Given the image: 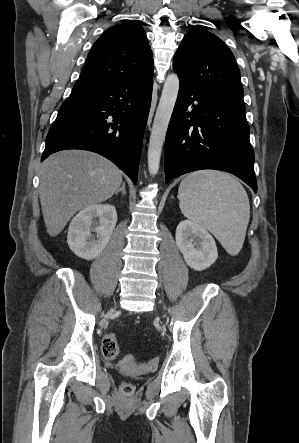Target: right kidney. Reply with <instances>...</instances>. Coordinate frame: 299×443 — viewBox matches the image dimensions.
Segmentation results:
<instances>
[{
  "label": "right kidney",
  "instance_id": "ca27d5eb",
  "mask_svg": "<svg viewBox=\"0 0 299 443\" xmlns=\"http://www.w3.org/2000/svg\"><path fill=\"white\" fill-rule=\"evenodd\" d=\"M117 222V212L109 204H95L82 209L69 225L67 243L78 257L92 260L105 249ZM97 234V240L92 236Z\"/></svg>",
  "mask_w": 299,
  "mask_h": 443
}]
</instances>
